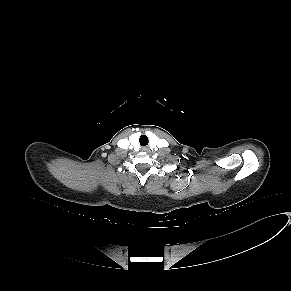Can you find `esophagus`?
Here are the masks:
<instances>
[{
	"label": "esophagus",
	"mask_w": 291,
	"mask_h": 291,
	"mask_svg": "<svg viewBox=\"0 0 291 291\" xmlns=\"http://www.w3.org/2000/svg\"><path fill=\"white\" fill-rule=\"evenodd\" d=\"M141 150L144 151V152H147L149 150V148L148 147H142Z\"/></svg>",
	"instance_id": "1"
}]
</instances>
